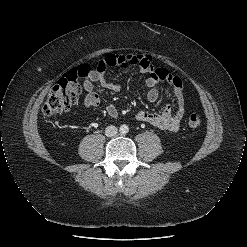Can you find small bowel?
<instances>
[{
  "label": "small bowel",
  "mask_w": 247,
  "mask_h": 247,
  "mask_svg": "<svg viewBox=\"0 0 247 247\" xmlns=\"http://www.w3.org/2000/svg\"><path fill=\"white\" fill-rule=\"evenodd\" d=\"M129 66H137L143 73L148 74L145 81L147 87V99L155 102L159 98L158 84L163 82L173 89L176 107L172 109L167 104L161 112H149L140 110L136 113V119L149 123L163 130L175 131L180 127L182 119L185 115V91L182 80L163 67H157L153 64L152 59L144 54H112L105 55L98 63L97 68L90 70L84 77L83 86L87 92L84 99V105L88 108L97 107L100 103V97L94 90V83L100 84L103 88L112 91H120L122 84L119 81H110L107 79L105 72L109 67L128 68ZM106 113L111 118L118 116L115 105L109 104L106 107Z\"/></svg>",
  "instance_id": "small-bowel-1"
}]
</instances>
